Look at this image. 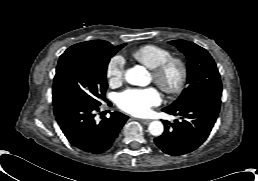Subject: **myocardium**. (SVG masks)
Wrapping results in <instances>:
<instances>
[{
    "label": "myocardium",
    "instance_id": "myocardium-1",
    "mask_svg": "<svg viewBox=\"0 0 258 181\" xmlns=\"http://www.w3.org/2000/svg\"><path fill=\"white\" fill-rule=\"evenodd\" d=\"M172 72H175L173 79L170 77ZM152 77L164 92L177 94L185 87L188 67L181 58L169 57L152 69Z\"/></svg>",
    "mask_w": 258,
    "mask_h": 181
}]
</instances>
